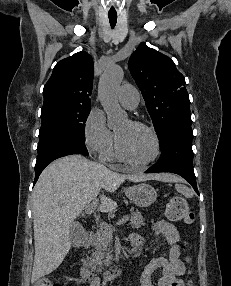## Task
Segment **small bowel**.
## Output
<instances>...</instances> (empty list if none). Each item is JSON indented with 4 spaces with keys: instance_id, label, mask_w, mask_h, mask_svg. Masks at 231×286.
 I'll list each match as a JSON object with an SVG mask.
<instances>
[{
    "instance_id": "obj_1",
    "label": "small bowel",
    "mask_w": 231,
    "mask_h": 286,
    "mask_svg": "<svg viewBox=\"0 0 231 286\" xmlns=\"http://www.w3.org/2000/svg\"><path fill=\"white\" fill-rule=\"evenodd\" d=\"M152 229L156 235H161L166 238L170 244L168 258L157 257L153 258L144 268L140 283L141 286H154L152 283V274L161 269L162 276L157 282V286H184L180 278L185 273V265L180 259L179 233L175 226L165 220H157L152 224ZM132 245L136 249H140L143 244V239L138 234H133L130 237ZM89 286H99V280L96 278L88 283Z\"/></svg>"
}]
</instances>
